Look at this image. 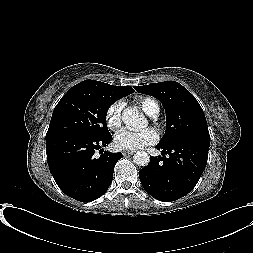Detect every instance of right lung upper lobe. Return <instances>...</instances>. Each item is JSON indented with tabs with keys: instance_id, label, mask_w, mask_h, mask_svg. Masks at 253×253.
<instances>
[{
	"instance_id": "1",
	"label": "right lung upper lobe",
	"mask_w": 253,
	"mask_h": 253,
	"mask_svg": "<svg viewBox=\"0 0 253 253\" xmlns=\"http://www.w3.org/2000/svg\"><path fill=\"white\" fill-rule=\"evenodd\" d=\"M74 87L89 88L97 91L108 92L122 97L127 96L134 92V89L130 86H113L104 82L95 80H85Z\"/></svg>"
}]
</instances>
